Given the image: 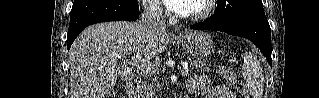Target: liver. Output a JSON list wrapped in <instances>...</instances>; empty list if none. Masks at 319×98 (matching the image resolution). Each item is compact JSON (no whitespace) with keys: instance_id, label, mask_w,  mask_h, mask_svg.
I'll list each match as a JSON object with an SVG mask.
<instances>
[{"instance_id":"1","label":"liver","mask_w":319,"mask_h":98,"mask_svg":"<svg viewBox=\"0 0 319 98\" xmlns=\"http://www.w3.org/2000/svg\"><path fill=\"white\" fill-rule=\"evenodd\" d=\"M167 33L150 34L139 22H106L86 28L70 51V98H105L122 75L119 56L149 61L167 47Z\"/></svg>"}]
</instances>
